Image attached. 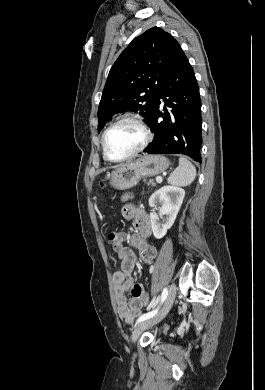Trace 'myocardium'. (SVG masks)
<instances>
[{"mask_svg": "<svg viewBox=\"0 0 265 390\" xmlns=\"http://www.w3.org/2000/svg\"><path fill=\"white\" fill-rule=\"evenodd\" d=\"M124 122H130L135 124L139 129L141 130L143 134V139L138 147H136L133 151H131L126 156L114 159L112 158L108 152H107V146H106V140L109 132L117 125L124 123ZM152 139V133L146 122L138 115L135 114H125L119 117L117 120H115L113 123H111L108 128L104 131L102 136V151L105 159L112 163H121L125 162L127 160L132 159L133 157L137 156L139 153H141L150 143Z\"/></svg>", "mask_w": 265, "mask_h": 390, "instance_id": "obj_1", "label": "myocardium"}]
</instances>
